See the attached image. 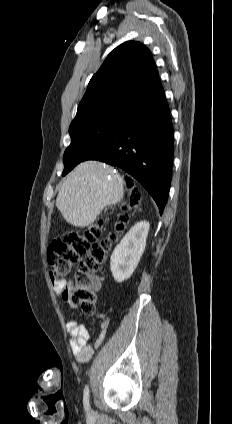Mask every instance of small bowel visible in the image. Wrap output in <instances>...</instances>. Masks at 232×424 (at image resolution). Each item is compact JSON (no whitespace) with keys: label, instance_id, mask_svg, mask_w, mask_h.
<instances>
[{"label":"small bowel","instance_id":"c3829d8e","mask_svg":"<svg viewBox=\"0 0 232 424\" xmlns=\"http://www.w3.org/2000/svg\"><path fill=\"white\" fill-rule=\"evenodd\" d=\"M97 279V278H96ZM101 287L100 281L97 279L96 282V291L99 290ZM55 289L57 292L62 294L63 297H67L69 293V286L65 284H55ZM109 325V319L106 317L102 321L100 325V331L94 341L92 343L89 342V331L88 329L80 324L76 320H69L66 323V328L70 333L71 340H70V347L75 355L76 359L79 362H86L90 359L94 348L101 345V343L104 341L107 328Z\"/></svg>","mask_w":232,"mask_h":424}]
</instances>
